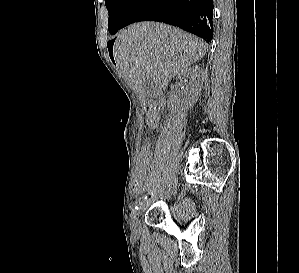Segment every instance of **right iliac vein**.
Instances as JSON below:
<instances>
[{
	"instance_id": "obj_1",
	"label": "right iliac vein",
	"mask_w": 299,
	"mask_h": 273,
	"mask_svg": "<svg viewBox=\"0 0 299 273\" xmlns=\"http://www.w3.org/2000/svg\"><path fill=\"white\" fill-rule=\"evenodd\" d=\"M175 186H176V179L173 180V182L170 184L167 192H165V193H170L175 188ZM141 210H142V205L139 206L138 209H135L131 215V227L134 232L136 231L137 226H138V218L141 213Z\"/></svg>"
}]
</instances>
